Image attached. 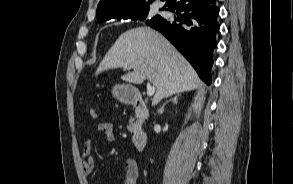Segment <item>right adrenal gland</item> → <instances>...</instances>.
I'll return each mask as SVG.
<instances>
[{
	"label": "right adrenal gland",
	"mask_w": 293,
	"mask_h": 184,
	"mask_svg": "<svg viewBox=\"0 0 293 184\" xmlns=\"http://www.w3.org/2000/svg\"><path fill=\"white\" fill-rule=\"evenodd\" d=\"M180 97V94H177V95H175L173 98H171L170 100H168V101H166L163 105H162V107L158 110V114H163V112H164V108H165V106H166V104L168 103V102H172L173 104H177L178 103V98Z\"/></svg>",
	"instance_id": "right-adrenal-gland-1"
}]
</instances>
